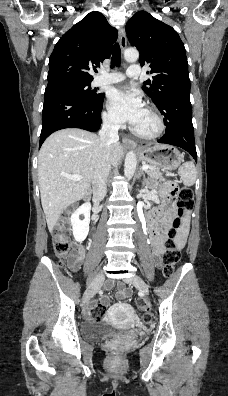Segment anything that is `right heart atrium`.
<instances>
[{"instance_id":"obj_1","label":"right heart atrium","mask_w":228,"mask_h":396,"mask_svg":"<svg viewBox=\"0 0 228 396\" xmlns=\"http://www.w3.org/2000/svg\"><path fill=\"white\" fill-rule=\"evenodd\" d=\"M103 121L107 126L112 128H118L120 126L119 122L115 120L109 113L103 114Z\"/></svg>"}]
</instances>
